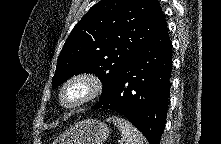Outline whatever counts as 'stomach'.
I'll return each mask as SVG.
<instances>
[{"label":"stomach","mask_w":221,"mask_h":144,"mask_svg":"<svg viewBox=\"0 0 221 144\" xmlns=\"http://www.w3.org/2000/svg\"><path fill=\"white\" fill-rule=\"evenodd\" d=\"M107 125L97 119L78 121L55 141L59 144H103L109 135Z\"/></svg>","instance_id":"stomach-1"}]
</instances>
